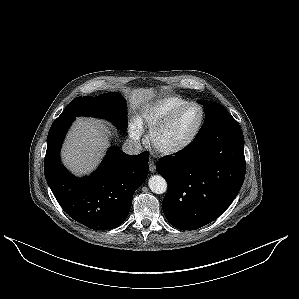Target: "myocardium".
I'll return each instance as SVG.
<instances>
[{
    "mask_svg": "<svg viewBox=\"0 0 299 299\" xmlns=\"http://www.w3.org/2000/svg\"><path fill=\"white\" fill-rule=\"evenodd\" d=\"M190 106H197L201 110V120L195 129V131L192 133V135L181 145L173 147V148H160L156 144V136L163 131L165 128H167L186 108ZM206 120V111L203 105L199 104L198 102L190 101L186 104L178 107L175 109L171 114H169L166 118L161 120L159 123L155 124L150 128L149 135H148V142L150 147L158 154L162 156H174L177 155L186 149H188L198 138L200 135L204 124Z\"/></svg>",
    "mask_w": 299,
    "mask_h": 299,
    "instance_id": "myocardium-1",
    "label": "myocardium"
}]
</instances>
